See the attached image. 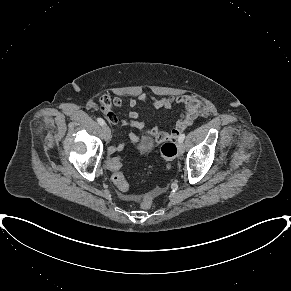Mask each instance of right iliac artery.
Segmentation results:
<instances>
[{
  "instance_id": "82829eb1",
  "label": "right iliac artery",
  "mask_w": 291,
  "mask_h": 291,
  "mask_svg": "<svg viewBox=\"0 0 291 291\" xmlns=\"http://www.w3.org/2000/svg\"><path fill=\"white\" fill-rule=\"evenodd\" d=\"M97 122L103 126L105 124V121L102 118H97Z\"/></svg>"
}]
</instances>
